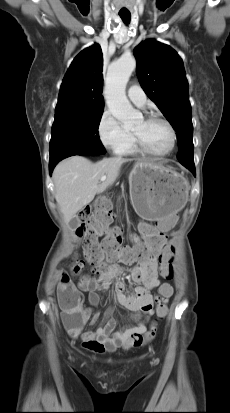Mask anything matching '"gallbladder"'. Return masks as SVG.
Listing matches in <instances>:
<instances>
[{
  "label": "gallbladder",
  "mask_w": 230,
  "mask_h": 413,
  "mask_svg": "<svg viewBox=\"0 0 230 413\" xmlns=\"http://www.w3.org/2000/svg\"><path fill=\"white\" fill-rule=\"evenodd\" d=\"M70 225L72 228H76L79 225V222L76 219H74L70 222Z\"/></svg>",
  "instance_id": "gallbladder-1"
}]
</instances>
